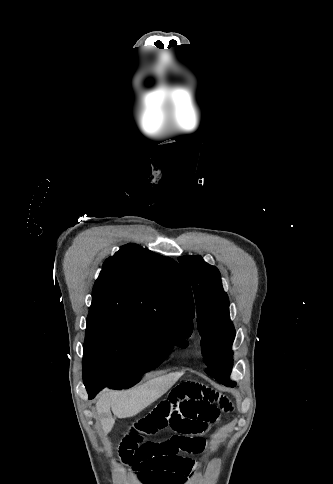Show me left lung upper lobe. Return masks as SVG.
I'll return each instance as SVG.
<instances>
[{
	"label": "left lung upper lobe",
	"instance_id": "left-lung-upper-lobe-1",
	"mask_svg": "<svg viewBox=\"0 0 333 484\" xmlns=\"http://www.w3.org/2000/svg\"><path fill=\"white\" fill-rule=\"evenodd\" d=\"M178 261L193 288L202 353L208 366L206 373L224 385H235L228 380L232 370L231 347L235 329L220 272L201 256H180Z\"/></svg>",
	"mask_w": 333,
	"mask_h": 484
}]
</instances>
